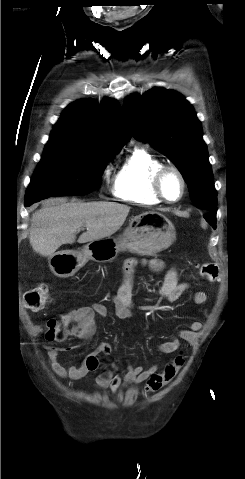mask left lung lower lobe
Here are the masks:
<instances>
[{
	"label": "left lung lower lobe",
	"mask_w": 245,
	"mask_h": 479,
	"mask_svg": "<svg viewBox=\"0 0 245 479\" xmlns=\"http://www.w3.org/2000/svg\"><path fill=\"white\" fill-rule=\"evenodd\" d=\"M204 218L212 225V227L216 228V209L207 211Z\"/></svg>",
	"instance_id": "obj_1"
}]
</instances>
